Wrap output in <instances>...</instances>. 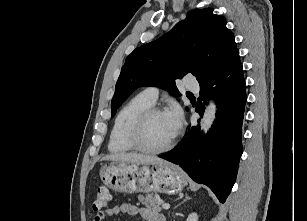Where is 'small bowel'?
Segmentation results:
<instances>
[{"instance_id":"small-bowel-1","label":"small bowel","mask_w":307,"mask_h":221,"mask_svg":"<svg viewBox=\"0 0 307 221\" xmlns=\"http://www.w3.org/2000/svg\"><path fill=\"white\" fill-rule=\"evenodd\" d=\"M125 213L130 216L139 215L144 221H165L164 216L156 209L139 208L136 205L123 203L99 211L93 221H104L106 217Z\"/></svg>"}]
</instances>
